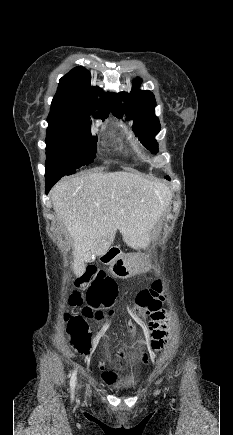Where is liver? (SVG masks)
<instances>
[{
  "mask_svg": "<svg viewBox=\"0 0 233 435\" xmlns=\"http://www.w3.org/2000/svg\"><path fill=\"white\" fill-rule=\"evenodd\" d=\"M50 195L53 209L72 239L76 276L84 272L83 257L90 252L105 254L117 230L128 246L148 247L152 230L172 199L164 183L122 171L63 179Z\"/></svg>",
  "mask_w": 233,
  "mask_h": 435,
  "instance_id": "1",
  "label": "liver"
}]
</instances>
